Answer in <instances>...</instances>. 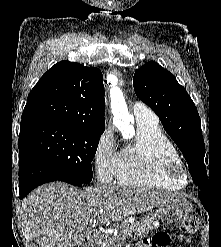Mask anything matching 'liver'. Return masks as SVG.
Returning <instances> with one entry per match:
<instances>
[{"mask_svg": "<svg viewBox=\"0 0 221 247\" xmlns=\"http://www.w3.org/2000/svg\"><path fill=\"white\" fill-rule=\"evenodd\" d=\"M180 197L143 187L101 186L77 191L53 182L31 192L22 202V216L39 247H75L90 225L118 222Z\"/></svg>", "mask_w": 221, "mask_h": 247, "instance_id": "1", "label": "liver"}]
</instances>
